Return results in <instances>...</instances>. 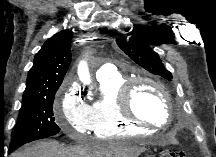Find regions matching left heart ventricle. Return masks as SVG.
Listing matches in <instances>:
<instances>
[{"label":"left heart ventricle","mask_w":216,"mask_h":157,"mask_svg":"<svg viewBox=\"0 0 216 157\" xmlns=\"http://www.w3.org/2000/svg\"><path fill=\"white\" fill-rule=\"evenodd\" d=\"M135 113L156 125H163L167 119L164 99L160 91L148 83L140 84L133 97Z\"/></svg>","instance_id":"b2bd125f"}]
</instances>
